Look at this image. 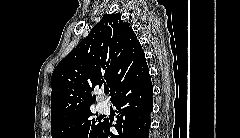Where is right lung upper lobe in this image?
<instances>
[{"mask_svg":"<svg viewBox=\"0 0 240 138\" xmlns=\"http://www.w3.org/2000/svg\"><path fill=\"white\" fill-rule=\"evenodd\" d=\"M148 73L145 54L129 23L120 14L104 15L52 74L51 123L90 109L94 88L108 85L112 99Z\"/></svg>","mask_w":240,"mask_h":138,"instance_id":"obj_1","label":"right lung upper lobe"}]
</instances>
